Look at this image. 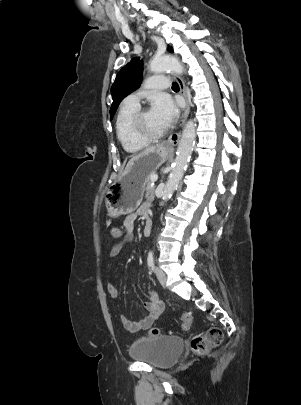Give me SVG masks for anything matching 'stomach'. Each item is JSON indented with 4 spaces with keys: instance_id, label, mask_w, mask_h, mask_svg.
Instances as JSON below:
<instances>
[{
    "instance_id": "1",
    "label": "stomach",
    "mask_w": 301,
    "mask_h": 405,
    "mask_svg": "<svg viewBox=\"0 0 301 405\" xmlns=\"http://www.w3.org/2000/svg\"><path fill=\"white\" fill-rule=\"evenodd\" d=\"M171 148L165 144L135 158L126 167L122 176L109 188L106 207L111 217L134 212L142 202L150 175L167 160Z\"/></svg>"
}]
</instances>
